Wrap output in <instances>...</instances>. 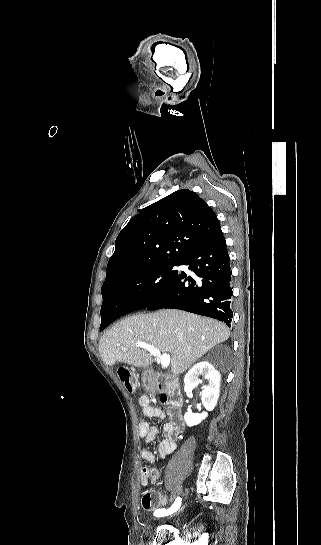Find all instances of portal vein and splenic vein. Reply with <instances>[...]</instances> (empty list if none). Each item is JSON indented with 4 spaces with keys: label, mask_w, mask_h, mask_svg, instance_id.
Masks as SVG:
<instances>
[{
    "label": "portal vein and splenic vein",
    "mask_w": 321,
    "mask_h": 545,
    "mask_svg": "<svg viewBox=\"0 0 321 545\" xmlns=\"http://www.w3.org/2000/svg\"><path fill=\"white\" fill-rule=\"evenodd\" d=\"M136 347H140V349H146V351H149L150 355H153V357H157V359H160L162 369H166V367H168L171 361V357L170 355H167V353L161 355V351H159V349H156V347H153V345H148V343H137Z\"/></svg>",
    "instance_id": "1"
}]
</instances>
